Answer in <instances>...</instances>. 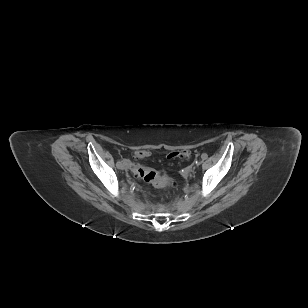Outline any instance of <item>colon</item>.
<instances>
[{
    "label": "colon",
    "instance_id": "colon-1",
    "mask_svg": "<svg viewBox=\"0 0 308 308\" xmlns=\"http://www.w3.org/2000/svg\"><path fill=\"white\" fill-rule=\"evenodd\" d=\"M149 155L148 151L140 150L135 152L134 157L137 159H143ZM190 151L179 150L171 152L169 158H183L188 159L190 157ZM131 170L136 177L143 179L144 181L151 183L156 187H175L176 182L169 177L164 171L155 170L143 165L133 164Z\"/></svg>",
    "mask_w": 308,
    "mask_h": 308
}]
</instances>
